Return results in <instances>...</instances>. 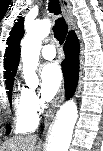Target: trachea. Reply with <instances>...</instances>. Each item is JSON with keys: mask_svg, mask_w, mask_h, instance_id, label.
<instances>
[{"mask_svg": "<svg viewBox=\"0 0 103 151\" xmlns=\"http://www.w3.org/2000/svg\"><path fill=\"white\" fill-rule=\"evenodd\" d=\"M48 9L51 13H54L55 15H58L61 13V8H60L58 0H50ZM53 32H54L55 38L59 41V43L63 44L65 37L67 35V32H68V26L64 18H58L55 21Z\"/></svg>", "mask_w": 103, "mask_h": 151, "instance_id": "obj_1", "label": "trachea"}]
</instances>
